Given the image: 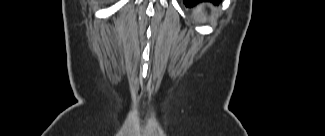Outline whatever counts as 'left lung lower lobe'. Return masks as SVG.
<instances>
[{
  "mask_svg": "<svg viewBox=\"0 0 325 136\" xmlns=\"http://www.w3.org/2000/svg\"><path fill=\"white\" fill-rule=\"evenodd\" d=\"M186 6H193L197 3H200V2H214V3H218L219 0H184Z\"/></svg>",
  "mask_w": 325,
  "mask_h": 136,
  "instance_id": "1",
  "label": "left lung lower lobe"
}]
</instances>
